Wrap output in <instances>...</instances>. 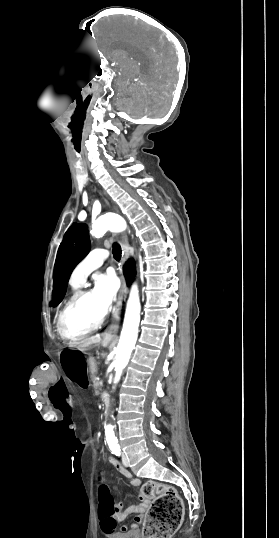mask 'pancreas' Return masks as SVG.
I'll use <instances>...</instances> for the list:
<instances>
[{
  "label": "pancreas",
  "mask_w": 279,
  "mask_h": 538,
  "mask_svg": "<svg viewBox=\"0 0 279 538\" xmlns=\"http://www.w3.org/2000/svg\"><path fill=\"white\" fill-rule=\"evenodd\" d=\"M93 388L95 390V396H101V391H98V388H99L98 382H94Z\"/></svg>",
  "instance_id": "obj_1"
}]
</instances>
